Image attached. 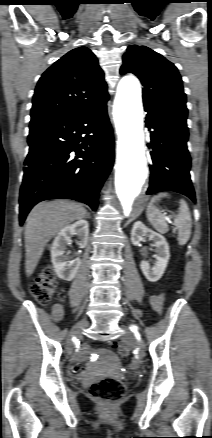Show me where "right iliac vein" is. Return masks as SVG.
Segmentation results:
<instances>
[{
    "mask_svg": "<svg viewBox=\"0 0 212 438\" xmlns=\"http://www.w3.org/2000/svg\"><path fill=\"white\" fill-rule=\"evenodd\" d=\"M87 326H88L87 322H82V323L78 324L77 326H75L71 330V332L69 334V339H68V342H67V344H68L67 349H68L69 352L72 350V338L75 337V336H79L81 334V330L83 328L87 327Z\"/></svg>",
    "mask_w": 212,
    "mask_h": 438,
    "instance_id": "right-iliac-vein-1",
    "label": "right iliac vein"
}]
</instances>
